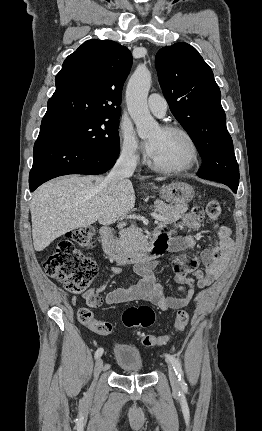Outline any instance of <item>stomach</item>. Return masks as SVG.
I'll list each match as a JSON object with an SVG mask.
<instances>
[{"label":"stomach","mask_w":262,"mask_h":431,"mask_svg":"<svg viewBox=\"0 0 262 431\" xmlns=\"http://www.w3.org/2000/svg\"><path fill=\"white\" fill-rule=\"evenodd\" d=\"M162 197L175 205H186L194 197V189L185 182L176 181L163 186L160 190Z\"/></svg>","instance_id":"stomach-1"}]
</instances>
